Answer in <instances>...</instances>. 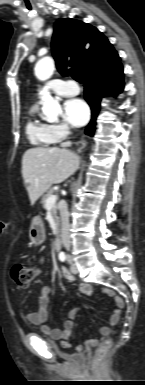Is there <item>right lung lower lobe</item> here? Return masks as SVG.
<instances>
[{"label": "right lung lower lobe", "mask_w": 145, "mask_h": 385, "mask_svg": "<svg viewBox=\"0 0 145 385\" xmlns=\"http://www.w3.org/2000/svg\"><path fill=\"white\" fill-rule=\"evenodd\" d=\"M123 76V67L119 61L110 69L88 74L84 77V97L92 111L91 121L85 130L87 135L93 136L94 134L101 98L106 95L116 96L121 93L124 86Z\"/></svg>", "instance_id": "1"}]
</instances>
